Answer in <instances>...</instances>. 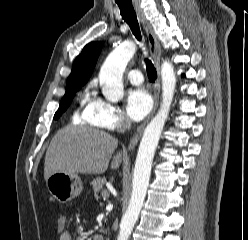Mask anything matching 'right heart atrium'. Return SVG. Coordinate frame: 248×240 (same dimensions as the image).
Returning a JSON list of instances; mask_svg holds the SVG:
<instances>
[{
  "label": "right heart atrium",
  "instance_id": "d8ad5b80",
  "mask_svg": "<svg viewBox=\"0 0 248 240\" xmlns=\"http://www.w3.org/2000/svg\"><path fill=\"white\" fill-rule=\"evenodd\" d=\"M87 117L90 124L105 130H115L129 125L124 112L102 98L94 99Z\"/></svg>",
  "mask_w": 248,
  "mask_h": 240
}]
</instances>
